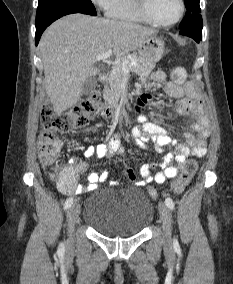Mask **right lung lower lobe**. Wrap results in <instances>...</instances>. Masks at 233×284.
Wrapping results in <instances>:
<instances>
[{
  "label": "right lung lower lobe",
  "mask_w": 233,
  "mask_h": 284,
  "mask_svg": "<svg viewBox=\"0 0 233 284\" xmlns=\"http://www.w3.org/2000/svg\"><path fill=\"white\" fill-rule=\"evenodd\" d=\"M62 17V16H60ZM60 17H56V18H53L51 20H48L40 25H36V36H35V41H36V44H38L39 42V39L41 37V34L43 33V31L55 20H57L58 18Z\"/></svg>",
  "instance_id": "obj_1"
}]
</instances>
